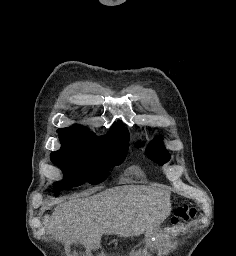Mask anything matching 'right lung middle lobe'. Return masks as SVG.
<instances>
[{
  "label": "right lung middle lobe",
  "mask_w": 236,
  "mask_h": 256,
  "mask_svg": "<svg viewBox=\"0 0 236 256\" xmlns=\"http://www.w3.org/2000/svg\"><path fill=\"white\" fill-rule=\"evenodd\" d=\"M59 137L62 147L51 154L52 162L65 175L63 182L55 183L58 189L101 183L110 168L124 161L128 151V142H105L67 134Z\"/></svg>",
  "instance_id": "right-lung-middle-lobe-1"
}]
</instances>
